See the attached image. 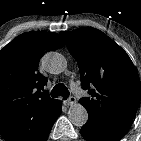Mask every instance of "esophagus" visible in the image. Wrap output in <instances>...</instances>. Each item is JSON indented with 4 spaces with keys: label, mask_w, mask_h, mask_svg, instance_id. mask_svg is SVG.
Instances as JSON below:
<instances>
[{
    "label": "esophagus",
    "mask_w": 141,
    "mask_h": 141,
    "mask_svg": "<svg viewBox=\"0 0 141 141\" xmlns=\"http://www.w3.org/2000/svg\"><path fill=\"white\" fill-rule=\"evenodd\" d=\"M74 104H76V98L73 96L69 97V99L66 101V105L73 106Z\"/></svg>",
    "instance_id": "obj_1"
}]
</instances>
